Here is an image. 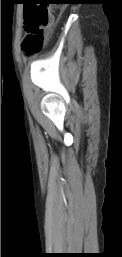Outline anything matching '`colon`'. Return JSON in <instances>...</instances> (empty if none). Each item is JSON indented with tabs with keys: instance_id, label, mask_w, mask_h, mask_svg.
<instances>
[{
	"instance_id": "5ec220e1",
	"label": "colon",
	"mask_w": 122,
	"mask_h": 257,
	"mask_svg": "<svg viewBox=\"0 0 122 257\" xmlns=\"http://www.w3.org/2000/svg\"><path fill=\"white\" fill-rule=\"evenodd\" d=\"M24 18L26 36L23 46L27 52L33 53L39 50L45 42L52 14L50 9L44 5H27Z\"/></svg>"
}]
</instances>
